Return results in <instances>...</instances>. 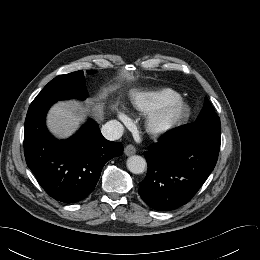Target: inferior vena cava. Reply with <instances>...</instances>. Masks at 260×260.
Listing matches in <instances>:
<instances>
[{"label": "inferior vena cava", "mask_w": 260, "mask_h": 260, "mask_svg": "<svg viewBox=\"0 0 260 260\" xmlns=\"http://www.w3.org/2000/svg\"><path fill=\"white\" fill-rule=\"evenodd\" d=\"M103 136L110 141L119 139L124 132L123 125L117 120H110L101 128Z\"/></svg>", "instance_id": "obj_1"}]
</instances>
